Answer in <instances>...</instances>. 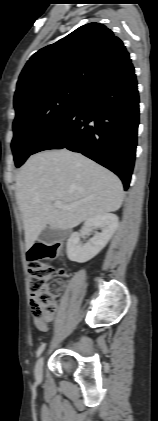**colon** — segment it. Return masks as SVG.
I'll list each match as a JSON object with an SVG mask.
<instances>
[{
	"label": "colon",
	"instance_id": "5ec220e1",
	"mask_svg": "<svg viewBox=\"0 0 158 421\" xmlns=\"http://www.w3.org/2000/svg\"><path fill=\"white\" fill-rule=\"evenodd\" d=\"M62 252L61 245L35 244L27 252L29 272V288L31 292V310L34 318L43 320L56 311V297L62 289V281L59 275H54L51 260L58 257Z\"/></svg>",
	"mask_w": 158,
	"mask_h": 421
}]
</instances>
